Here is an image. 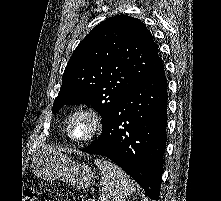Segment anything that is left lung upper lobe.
<instances>
[{
  "label": "left lung upper lobe",
  "mask_w": 221,
  "mask_h": 201,
  "mask_svg": "<svg viewBox=\"0 0 221 201\" xmlns=\"http://www.w3.org/2000/svg\"><path fill=\"white\" fill-rule=\"evenodd\" d=\"M162 63L150 31L136 18L117 15L92 29L73 52L53 104H91L102 128L119 102Z\"/></svg>",
  "instance_id": "obj_1"
}]
</instances>
